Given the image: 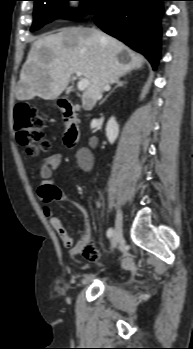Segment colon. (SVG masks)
Returning <instances> with one entry per match:
<instances>
[{"mask_svg":"<svg viewBox=\"0 0 193 349\" xmlns=\"http://www.w3.org/2000/svg\"><path fill=\"white\" fill-rule=\"evenodd\" d=\"M15 132L18 142L29 154L36 155L50 147L44 138V122L37 110L28 104L15 107Z\"/></svg>","mask_w":193,"mask_h":349,"instance_id":"1","label":"colon"}]
</instances>
